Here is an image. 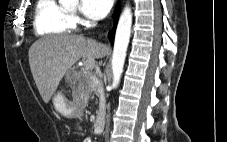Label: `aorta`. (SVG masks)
Instances as JSON below:
<instances>
[{
	"instance_id": "obj_1",
	"label": "aorta",
	"mask_w": 227,
	"mask_h": 142,
	"mask_svg": "<svg viewBox=\"0 0 227 142\" xmlns=\"http://www.w3.org/2000/svg\"><path fill=\"white\" fill-rule=\"evenodd\" d=\"M63 5L75 4L78 0H59ZM132 26V12L129 6H126L120 16L114 42V50L112 55V72L113 84L112 87L116 88L120 82L123 72L126 51L128 48Z\"/></svg>"
}]
</instances>
